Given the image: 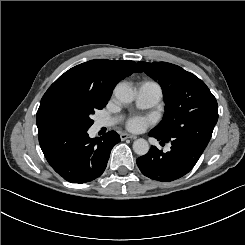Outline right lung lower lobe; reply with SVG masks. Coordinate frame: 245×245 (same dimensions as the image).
Masks as SVG:
<instances>
[{"mask_svg":"<svg viewBox=\"0 0 245 245\" xmlns=\"http://www.w3.org/2000/svg\"><path fill=\"white\" fill-rule=\"evenodd\" d=\"M87 130L51 129L39 133V143L48 163L71 183H86L100 177L112 148L120 142L114 131L91 139Z\"/></svg>","mask_w":245,"mask_h":245,"instance_id":"right-lung-lower-lobe-1","label":"right lung lower lobe"}]
</instances>
